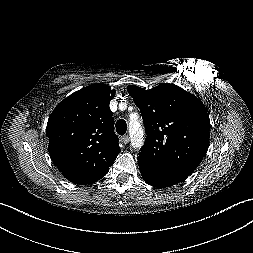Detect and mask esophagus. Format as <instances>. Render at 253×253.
<instances>
[{
  "label": "esophagus",
  "mask_w": 253,
  "mask_h": 253,
  "mask_svg": "<svg viewBox=\"0 0 253 253\" xmlns=\"http://www.w3.org/2000/svg\"><path fill=\"white\" fill-rule=\"evenodd\" d=\"M121 141H122L124 144H127V143L129 142V136H128V135L122 136Z\"/></svg>",
  "instance_id": "esophagus-1"
}]
</instances>
